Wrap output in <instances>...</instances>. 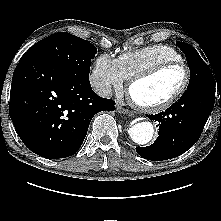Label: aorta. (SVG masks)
<instances>
[{
  "instance_id": "aorta-1",
  "label": "aorta",
  "mask_w": 221,
  "mask_h": 221,
  "mask_svg": "<svg viewBox=\"0 0 221 221\" xmlns=\"http://www.w3.org/2000/svg\"><path fill=\"white\" fill-rule=\"evenodd\" d=\"M153 134L154 127L149 121L138 122L129 129L131 139L139 145L149 143L153 138Z\"/></svg>"
}]
</instances>
